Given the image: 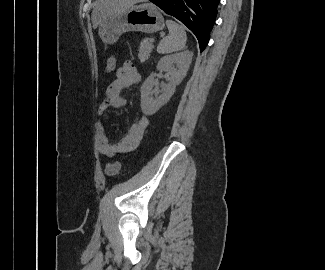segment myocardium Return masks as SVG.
<instances>
[{"instance_id":"1","label":"myocardium","mask_w":325,"mask_h":270,"mask_svg":"<svg viewBox=\"0 0 325 270\" xmlns=\"http://www.w3.org/2000/svg\"><path fill=\"white\" fill-rule=\"evenodd\" d=\"M131 2L145 1V0H129Z\"/></svg>"}]
</instances>
